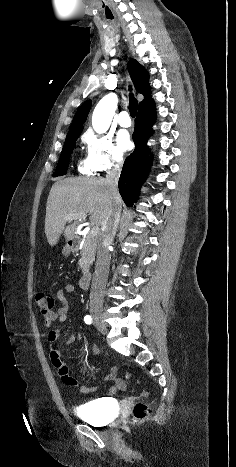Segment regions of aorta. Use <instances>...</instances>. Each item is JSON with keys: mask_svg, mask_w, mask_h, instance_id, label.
I'll list each match as a JSON object with an SVG mask.
<instances>
[{"mask_svg": "<svg viewBox=\"0 0 236 467\" xmlns=\"http://www.w3.org/2000/svg\"><path fill=\"white\" fill-rule=\"evenodd\" d=\"M117 104V95L109 93L96 105L92 115V127L97 133H105L109 129Z\"/></svg>", "mask_w": 236, "mask_h": 467, "instance_id": "obj_1", "label": "aorta"}]
</instances>
